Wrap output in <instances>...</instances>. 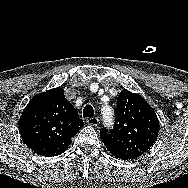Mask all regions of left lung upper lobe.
Returning a JSON list of instances; mask_svg holds the SVG:
<instances>
[{
    "instance_id": "1",
    "label": "left lung upper lobe",
    "mask_w": 188,
    "mask_h": 188,
    "mask_svg": "<svg viewBox=\"0 0 188 188\" xmlns=\"http://www.w3.org/2000/svg\"><path fill=\"white\" fill-rule=\"evenodd\" d=\"M117 102L114 127L110 131L102 128L100 138L131 158H137L147 152L158 137L157 115L141 95L126 89L120 92Z\"/></svg>"
}]
</instances>
